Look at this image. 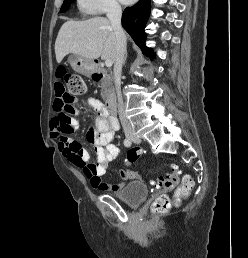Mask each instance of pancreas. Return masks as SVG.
<instances>
[{
    "instance_id": "1",
    "label": "pancreas",
    "mask_w": 248,
    "mask_h": 258,
    "mask_svg": "<svg viewBox=\"0 0 248 258\" xmlns=\"http://www.w3.org/2000/svg\"><path fill=\"white\" fill-rule=\"evenodd\" d=\"M102 90H101V95L103 99L108 98L109 92L112 90V82L109 76L105 77L102 81Z\"/></svg>"
}]
</instances>
